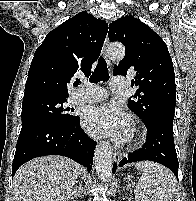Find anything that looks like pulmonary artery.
<instances>
[{
    "label": "pulmonary artery",
    "mask_w": 196,
    "mask_h": 201,
    "mask_svg": "<svg viewBox=\"0 0 196 201\" xmlns=\"http://www.w3.org/2000/svg\"><path fill=\"white\" fill-rule=\"evenodd\" d=\"M125 87L126 80L124 78H113L110 81V89L113 92H120L124 90ZM106 96L107 92L105 89L83 83L82 86L73 93L72 101L74 103L100 101L105 99Z\"/></svg>",
    "instance_id": "pulmonary-artery-1"
}]
</instances>
